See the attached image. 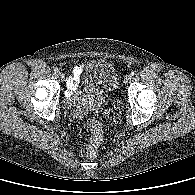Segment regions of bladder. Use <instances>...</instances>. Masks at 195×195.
Here are the masks:
<instances>
[{
    "mask_svg": "<svg viewBox=\"0 0 195 195\" xmlns=\"http://www.w3.org/2000/svg\"><path fill=\"white\" fill-rule=\"evenodd\" d=\"M118 84V71L112 63L105 60H93L89 63L83 86L88 98L108 96L116 91Z\"/></svg>",
    "mask_w": 195,
    "mask_h": 195,
    "instance_id": "bladder-1",
    "label": "bladder"
}]
</instances>
